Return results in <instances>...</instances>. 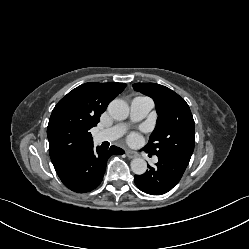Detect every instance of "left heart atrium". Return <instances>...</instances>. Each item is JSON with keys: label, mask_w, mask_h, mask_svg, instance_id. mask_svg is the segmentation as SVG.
Segmentation results:
<instances>
[{"label": "left heart atrium", "mask_w": 249, "mask_h": 249, "mask_svg": "<svg viewBox=\"0 0 249 249\" xmlns=\"http://www.w3.org/2000/svg\"><path fill=\"white\" fill-rule=\"evenodd\" d=\"M139 139V135L136 134V133H132L130 136H129V141L131 142H135Z\"/></svg>", "instance_id": "obj_1"}]
</instances>
